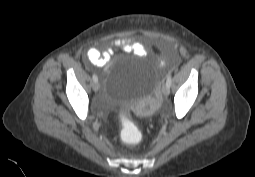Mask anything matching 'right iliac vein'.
<instances>
[{
    "label": "right iliac vein",
    "mask_w": 255,
    "mask_h": 177,
    "mask_svg": "<svg viewBox=\"0 0 255 177\" xmlns=\"http://www.w3.org/2000/svg\"><path fill=\"white\" fill-rule=\"evenodd\" d=\"M93 90H94V92H98V90H99V83L98 82L93 83Z\"/></svg>",
    "instance_id": "obj_1"
}]
</instances>
